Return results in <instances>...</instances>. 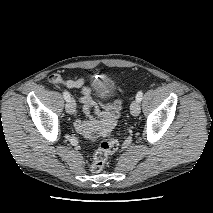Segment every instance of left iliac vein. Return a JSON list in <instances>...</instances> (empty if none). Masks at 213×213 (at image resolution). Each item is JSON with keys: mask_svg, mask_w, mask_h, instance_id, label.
Masks as SVG:
<instances>
[{"mask_svg": "<svg viewBox=\"0 0 213 213\" xmlns=\"http://www.w3.org/2000/svg\"><path fill=\"white\" fill-rule=\"evenodd\" d=\"M140 110H141L140 103L137 100L133 101L130 105L131 114L133 116H138L140 114Z\"/></svg>", "mask_w": 213, "mask_h": 213, "instance_id": "4c4485c4", "label": "left iliac vein"}]
</instances>
